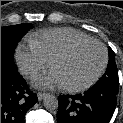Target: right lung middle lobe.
<instances>
[{"label": "right lung middle lobe", "mask_w": 123, "mask_h": 123, "mask_svg": "<svg viewBox=\"0 0 123 123\" xmlns=\"http://www.w3.org/2000/svg\"><path fill=\"white\" fill-rule=\"evenodd\" d=\"M30 28L28 23L1 27V63L16 68L13 60L16 45Z\"/></svg>", "instance_id": "right-lung-middle-lobe-1"}]
</instances>
